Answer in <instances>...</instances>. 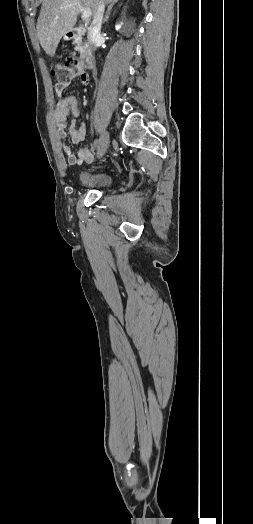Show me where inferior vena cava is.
<instances>
[{"instance_id": "obj_1", "label": "inferior vena cava", "mask_w": 253, "mask_h": 524, "mask_svg": "<svg viewBox=\"0 0 253 524\" xmlns=\"http://www.w3.org/2000/svg\"><path fill=\"white\" fill-rule=\"evenodd\" d=\"M104 9H105V4L103 1H101L97 8L96 14L93 17L92 24L89 28V40L94 44L98 42L101 36L100 31H101V25H102V20H103Z\"/></svg>"}]
</instances>
